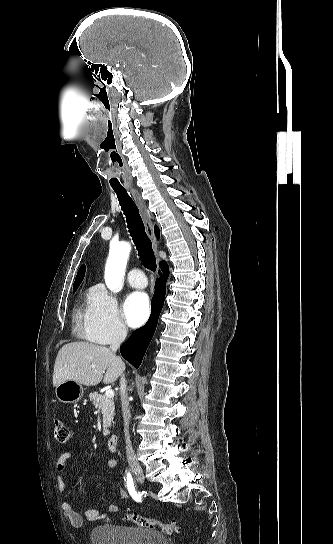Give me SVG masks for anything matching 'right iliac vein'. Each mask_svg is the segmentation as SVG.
<instances>
[{
  "label": "right iliac vein",
  "instance_id": "obj_1",
  "mask_svg": "<svg viewBox=\"0 0 333 544\" xmlns=\"http://www.w3.org/2000/svg\"><path fill=\"white\" fill-rule=\"evenodd\" d=\"M135 474L139 477L140 480H142L141 472L138 470H135Z\"/></svg>",
  "mask_w": 333,
  "mask_h": 544
}]
</instances>
